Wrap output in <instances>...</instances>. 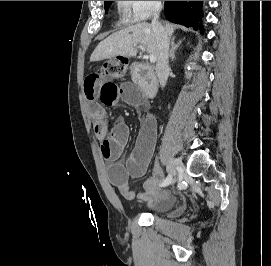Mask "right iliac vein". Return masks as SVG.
I'll list each match as a JSON object with an SVG mask.
<instances>
[{
    "instance_id": "1",
    "label": "right iliac vein",
    "mask_w": 271,
    "mask_h": 266,
    "mask_svg": "<svg viewBox=\"0 0 271 266\" xmlns=\"http://www.w3.org/2000/svg\"><path fill=\"white\" fill-rule=\"evenodd\" d=\"M182 169H183V166H182L181 161L179 159L173 158L170 160V162L168 164V170H169L170 175L172 176V181H173L174 177L176 176L177 172Z\"/></svg>"
}]
</instances>
